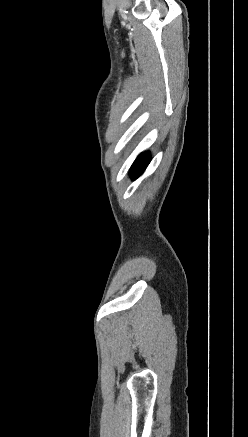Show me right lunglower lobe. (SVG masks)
I'll list each match as a JSON object with an SVG mask.
<instances>
[{
    "label": "right lung lower lobe",
    "instance_id": "obj_1",
    "mask_svg": "<svg viewBox=\"0 0 248 437\" xmlns=\"http://www.w3.org/2000/svg\"><path fill=\"white\" fill-rule=\"evenodd\" d=\"M150 161V155L148 153H143L138 156V158L135 160L130 174L133 177V179H136L138 176H140Z\"/></svg>",
    "mask_w": 248,
    "mask_h": 437
}]
</instances>
